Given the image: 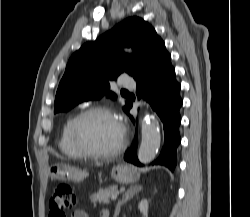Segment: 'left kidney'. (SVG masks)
Masks as SVG:
<instances>
[{
    "label": "left kidney",
    "instance_id": "1",
    "mask_svg": "<svg viewBox=\"0 0 250 217\" xmlns=\"http://www.w3.org/2000/svg\"><path fill=\"white\" fill-rule=\"evenodd\" d=\"M138 208L144 217H148V201L146 199L141 200Z\"/></svg>",
    "mask_w": 250,
    "mask_h": 217
}]
</instances>
